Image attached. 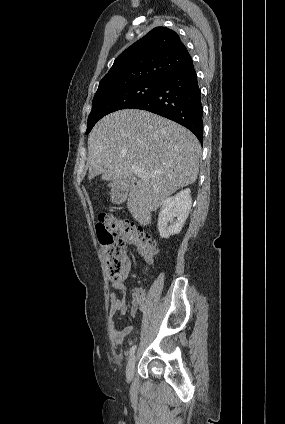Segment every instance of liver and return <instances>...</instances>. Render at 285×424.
Segmentation results:
<instances>
[{"label": "liver", "instance_id": "6515ba94", "mask_svg": "<svg viewBox=\"0 0 285 424\" xmlns=\"http://www.w3.org/2000/svg\"><path fill=\"white\" fill-rule=\"evenodd\" d=\"M88 178L128 179L132 165L145 173L130 186L127 208L141 225L151 212L198 176L201 145L185 127L154 113L126 109L102 118L88 138Z\"/></svg>", "mask_w": 285, "mask_h": 424}]
</instances>
